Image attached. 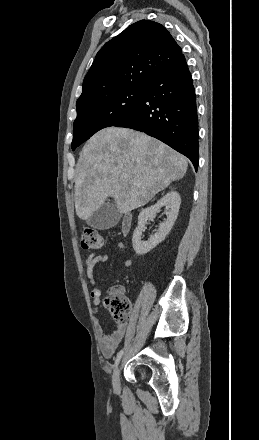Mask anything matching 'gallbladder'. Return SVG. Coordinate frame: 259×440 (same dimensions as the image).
<instances>
[{"mask_svg": "<svg viewBox=\"0 0 259 440\" xmlns=\"http://www.w3.org/2000/svg\"><path fill=\"white\" fill-rule=\"evenodd\" d=\"M122 217L115 204L105 203L95 211L87 220V225L99 229H110L118 224Z\"/></svg>", "mask_w": 259, "mask_h": 440, "instance_id": "obj_1", "label": "gallbladder"}]
</instances>
